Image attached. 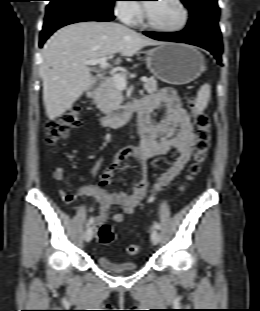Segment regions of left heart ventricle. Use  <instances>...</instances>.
Returning <instances> with one entry per match:
<instances>
[{
  "mask_svg": "<svg viewBox=\"0 0 260 311\" xmlns=\"http://www.w3.org/2000/svg\"><path fill=\"white\" fill-rule=\"evenodd\" d=\"M150 20L161 27L177 26L183 17L182 10L174 0H158L146 4Z\"/></svg>",
  "mask_w": 260,
  "mask_h": 311,
  "instance_id": "b2bd125f",
  "label": "left heart ventricle"
}]
</instances>
